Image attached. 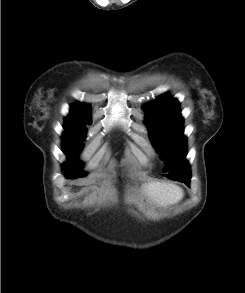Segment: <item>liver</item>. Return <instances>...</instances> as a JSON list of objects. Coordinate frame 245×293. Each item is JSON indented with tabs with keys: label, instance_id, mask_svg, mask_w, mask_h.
Listing matches in <instances>:
<instances>
[{
	"label": "liver",
	"instance_id": "obj_1",
	"mask_svg": "<svg viewBox=\"0 0 245 293\" xmlns=\"http://www.w3.org/2000/svg\"><path fill=\"white\" fill-rule=\"evenodd\" d=\"M145 195L157 205L175 204L183 198V190L171 183L149 182L144 185Z\"/></svg>",
	"mask_w": 245,
	"mask_h": 293
}]
</instances>
